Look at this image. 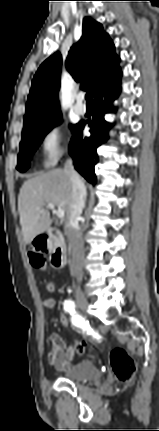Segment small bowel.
<instances>
[{"mask_svg":"<svg viewBox=\"0 0 159 431\" xmlns=\"http://www.w3.org/2000/svg\"><path fill=\"white\" fill-rule=\"evenodd\" d=\"M56 289V283L49 282L46 285V290L48 292H54ZM53 302L55 306V302L52 298H47L44 301V306L47 308V303ZM48 309V308H47ZM50 341L52 348L47 354L48 362L57 370H65L69 367L70 362L73 360L75 354H77V349H75L74 345H70L66 348L65 342L62 337L53 333L50 336Z\"/></svg>","mask_w":159,"mask_h":431,"instance_id":"small-bowel-1","label":"small bowel"}]
</instances>
